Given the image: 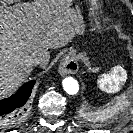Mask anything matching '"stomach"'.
<instances>
[{"label": "stomach", "instance_id": "0dacf381", "mask_svg": "<svg viewBox=\"0 0 133 133\" xmlns=\"http://www.w3.org/2000/svg\"><path fill=\"white\" fill-rule=\"evenodd\" d=\"M77 10H78V11H77V12H78V14H77V13H76V14H77L78 16H80V15H79L80 9H79V7H78V6H77ZM80 17H81V16H80Z\"/></svg>", "mask_w": 133, "mask_h": 133}]
</instances>
